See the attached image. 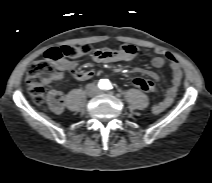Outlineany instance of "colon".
Listing matches in <instances>:
<instances>
[{"mask_svg":"<svg viewBox=\"0 0 212 183\" xmlns=\"http://www.w3.org/2000/svg\"><path fill=\"white\" fill-rule=\"evenodd\" d=\"M91 51L92 48L88 44L54 47L45 53L44 60L32 63L26 75V83L33 101L37 104L43 102L45 88L54 80L57 67L62 61L86 56ZM132 84L143 92L154 90V84L146 78H135Z\"/></svg>","mask_w":212,"mask_h":183,"instance_id":"5ec220e1","label":"colon"}]
</instances>
